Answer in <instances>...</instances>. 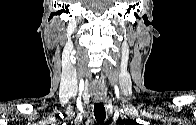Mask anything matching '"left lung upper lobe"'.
Instances as JSON below:
<instances>
[{
    "label": "left lung upper lobe",
    "mask_w": 196,
    "mask_h": 125,
    "mask_svg": "<svg viewBox=\"0 0 196 125\" xmlns=\"http://www.w3.org/2000/svg\"><path fill=\"white\" fill-rule=\"evenodd\" d=\"M133 121H129L128 124L132 123Z\"/></svg>",
    "instance_id": "left-lung-upper-lobe-1"
}]
</instances>
